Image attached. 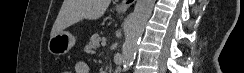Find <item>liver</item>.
<instances>
[{
	"label": "liver",
	"instance_id": "obj_1",
	"mask_svg": "<svg viewBox=\"0 0 244 73\" xmlns=\"http://www.w3.org/2000/svg\"><path fill=\"white\" fill-rule=\"evenodd\" d=\"M110 2L111 0H64L52 27L51 37L83 19H99Z\"/></svg>",
	"mask_w": 244,
	"mask_h": 73
}]
</instances>
